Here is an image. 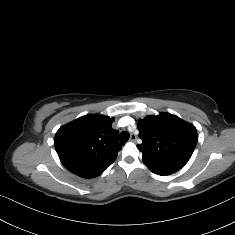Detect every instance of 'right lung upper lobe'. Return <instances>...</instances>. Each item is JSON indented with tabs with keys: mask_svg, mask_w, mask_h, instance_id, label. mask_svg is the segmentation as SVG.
<instances>
[{
	"mask_svg": "<svg viewBox=\"0 0 235 235\" xmlns=\"http://www.w3.org/2000/svg\"><path fill=\"white\" fill-rule=\"evenodd\" d=\"M113 121L108 116L89 114L60 127L54 146L65 168L83 178L103 173L124 145L111 127Z\"/></svg>",
	"mask_w": 235,
	"mask_h": 235,
	"instance_id": "1",
	"label": "right lung upper lobe"
}]
</instances>
